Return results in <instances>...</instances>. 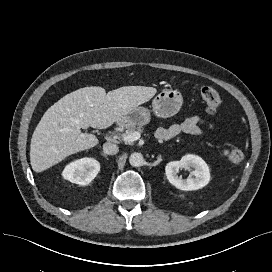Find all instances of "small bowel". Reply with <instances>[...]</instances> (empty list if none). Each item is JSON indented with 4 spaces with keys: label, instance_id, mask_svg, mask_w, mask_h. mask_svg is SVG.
Returning a JSON list of instances; mask_svg holds the SVG:
<instances>
[{
    "label": "small bowel",
    "instance_id": "1",
    "mask_svg": "<svg viewBox=\"0 0 272 272\" xmlns=\"http://www.w3.org/2000/svg\"><path fill=\"white\" fill-rule=\"evenodd\" d=\"M204 126L208 127L209 129L214 128L213 123L206 121L204 118L200 116H191L186 118L181 123L172 124L166 128H158L155 135L159 140H169L176 137L180 133L200 135L202 134Z\"/></svg>",
    "mask_w": 272,
    "mask_h": 272
}]
</instances>
